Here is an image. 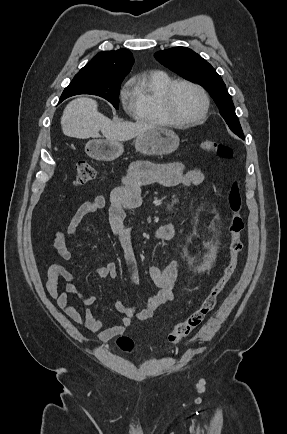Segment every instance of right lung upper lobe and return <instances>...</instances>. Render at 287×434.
<instances>
[{
  "label": "right lung upper lobe",
  "mask_w": 287,
  "mask_h": 434,
  "mask_svg": "<svg viewBox=\"0 0 287 434\" xmlns=\"http://www.w3.org/2000/svg\"><path fill=\"white\" fill-rule=\"evenodd\" d=\"M133 63L132 53L127 49L103 51L98 53L76 75L121 80L130 72Z\"/></svg>",
  "instance_id": "obj_1"
}]
</instances>
